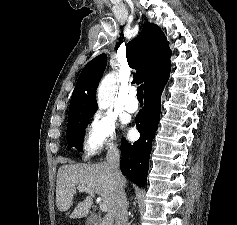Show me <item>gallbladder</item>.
<instances>
[{"label": "gallbladder", "instance_id": "bac80fb5", "mask_svg": "<svg viewBox=\"0 0 237 225\" xmlns=\"http://www.w3.org/2000/svg\"><path fill=\"white\" fill-rule=\"evenodd\" d=\"M86 225H100L99 217H91L87 220Z\"/></svg>", "mask_w": 237, "mask_h": 225}]
</instances>
